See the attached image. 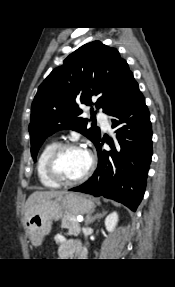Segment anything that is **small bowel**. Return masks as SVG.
Wrapping results in <instances>:
<instances>
[{
	"label": "small bowel",
	"mask_w": 175,
	"mask_h": 287,
	"mask_svg": "<svg viewBox=\"0 0 175 287\" xmlns=\"http://www.w3.org/2000/svg\"><path fill=\"white\" fill-rule=\"evenodd\" d=\"M54 243L58 246V256L60 259H69L72 256L84 257L85 252L73 239H66L62 234L54 237Z\"/></svg>",
	"instance_id": "c3829d8e"
}]
</instances>
